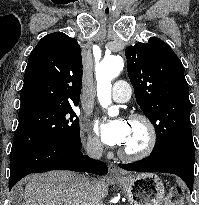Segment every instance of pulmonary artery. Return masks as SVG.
<instances>
[{"label":"pulmonary artery","mask_w":199,"mask_h":205,"mask_svg":"<svg viewBox=\"0 0 199 205\" xmlns=\"http://www.w3.org/2000/svg\"><path fill=\"white\" fill-rule=\"evenodd\" d=\"M132 93L131 86L124 80H117L113 85L112 99L115 102H126Z\"/></svg>","instance_id":"obj_1"}]
</instances>
